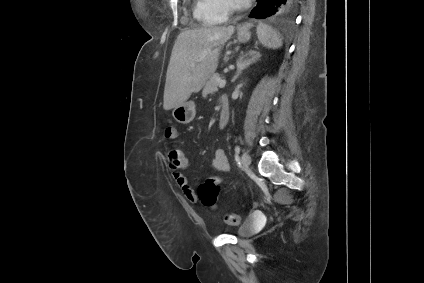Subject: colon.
<instances>
[{
	"mask_svg": "<svg viewBox=\"0 0 424 283\" xmlns=\"http://www.w3.org/2000/svg\"><path fill=\"white\" fill-rule=\"evenodd\" d=\"M165 136L172 139L176 136V131L173 127H167ZM185 153L178 149L172 148L168 152V162L170 169H179L186 164ZM220 179L218 177H210L198 187V197L201 203L205 206L212 207L217 201L219 193ZM224 221L229 225H237L240 222L239 215L235 213H227L224 215Z\"/></svg>",
	"mask_w": 424,
	"mask_h": 283,
	"instance_id": "1",
	"label": "colon"
}]
</instances>
